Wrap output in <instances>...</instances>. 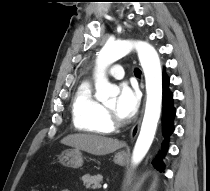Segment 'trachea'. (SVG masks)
<instances>
[{
  "label": "trachea",
  "instance_id": "3493384b",
  "mask_svg": "<svg viewBox=\"0 0 210 191\" xmlns=\"http://www.w3.org/2000/svg\"><path fill=\"white\" fill-rule=\"evenodd\" d=\"M134 74H135L136 76H140V75H141V70L138 69V68H136V69L134 70Z\"/></svg>",
  "mask_w": 210,
  "mask_h": 191
}]
</instances>
